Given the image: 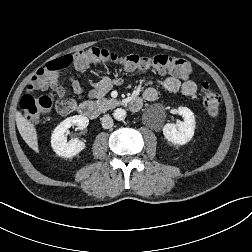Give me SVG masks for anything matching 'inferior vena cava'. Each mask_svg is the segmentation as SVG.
Returning <instances> with one entry per match:
<instances>
[{
	"label": "inferior vena cava",
	"instance_id": "602c4592",
	"mask_svg": "<svg viewBox=\"0 0 252 252\" xmlns=\"http://www.w3.org/2000/svg\"><path fill=\"white\" fill-rule=\"evenodd\" d=\"M101 124L104 129H109L113 126V119L109 115H104L101 119Z\"/></svg>",
	"mask_w": 252,
	"mask_h": 252
}]
</instances>
